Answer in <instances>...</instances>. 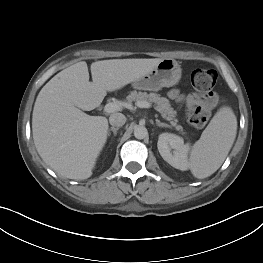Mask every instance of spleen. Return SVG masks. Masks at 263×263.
Returning a JSON list of instances; mask_svg holds the SVG:
<instances>
[{"mask_svg": "<svg viewBox=\"0 0 263 263\" xmlns=\"http://www.w3.org/2000/svg\"><path fill=\"white\" fill-rule=\"evenodd\" d=\"M237 119L232 109L222 107L192 147L189 168L198 179L213 174L224 162L236 137Z\"/></svg>", "mask_w": 263, "mask_h": 263, "instance_id": "1", "label": "spleen"}]
</instances>
